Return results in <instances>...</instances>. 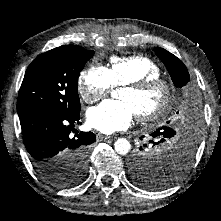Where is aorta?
<instances>
[{
	"label": "aorta",
	"mask_w": 221,
	"mask_h": 221,
	"mask_svg": "<svg viewBox=\"0 0 221 221\" xmlns=\"http://www.w3.org/2000/svg\"><path fill=\"white\" fill-rule=\"evenodd\" d=\"M115 151L120 155H126L131 150V144L125 138H119L114 143Z\"/></svg>",
	"instance_id": "aorta-1"
}]
</instances>
